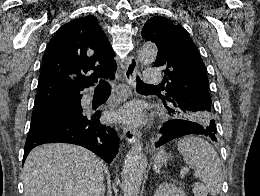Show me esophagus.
Instances as JSON below:
<instances>
[{
  "instance_id": "obj_1",
  "label": "esophagus",
  "mask_w": 260,
  "mask_h": 196,
  "mask_svg": "<svg viewBox=\"0 0 260 196\" xmlns=\"http://www.w3.org/2000/svg\"><path fill=\"white\" fill-rule=\"evenodd\" d=\"M137 74H138V62L134 56H130L126 61L125 69H124V77L127 84L130 87L136 86ZM123 136L130 144L136 143L140 138V134L138 130L132 126L123 127Z\"/></svg>"
}]
</instances>
